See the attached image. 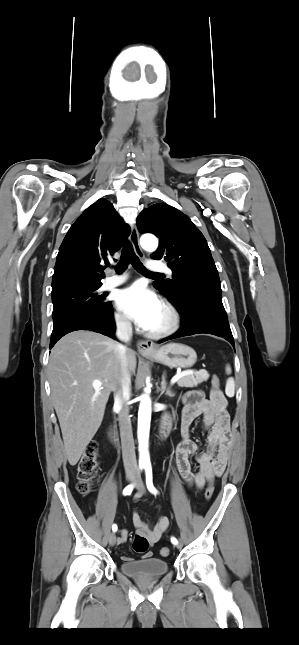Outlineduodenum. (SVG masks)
Segmentation results:
<instances>
[{"instance_id":"duodenum-1","label":"duodenum","mask_w":299,"mask_h":645,"mask_svg":"<svg viewBox=\"0 0 299 645\" xmlns=\"http://www.w3.org/2000/svg\"><path fill=\"white\" fill-rule=\"evenodd\" d=\"M171 430V420L169 416H165L160 425V435L165 438ZM109 436L112 441H115V435L112 429L109 431Z\"/></svg>"}]
</instances>
